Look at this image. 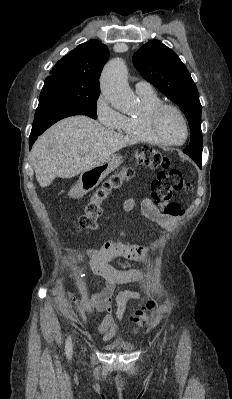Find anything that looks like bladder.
<instances>
[{
	"label": "bladder",
	"mask_w": 232,
	"mask_h": 399,
	"mask_svg": "<svg viewBox=\"0 0 232 399\" xmlns=\"http://www.w3.org/2000/svg\"><path fill=\"white\" fill-rule=\"evenodd\" d=\"M106 351L112 352H127L132 349V347L128 344L122 342H112L104 346Z\"/></svg>",
	"instance_id": "obj_1"
}]
</instances>
